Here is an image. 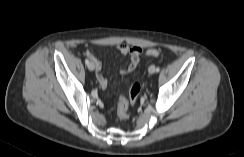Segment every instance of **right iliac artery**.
Returning a JSON list of instances; mask_svg holds the SVG:
<instances>
[{"instance_id": "82829eb1", "label": "right iliac artery", "mask_w": 244, "mask_h": 157, "mask_svg": "<svg viewBox=\"0 0 244 157\" xmlns=\"http://www.w3.org/2000/svg\"><path fill=\"white\" fill-rule=\"evenodd\" d=\"M85 64L88 65L89 64V60L86 58L85 59Z\"/></svg>"}]
</instances>
